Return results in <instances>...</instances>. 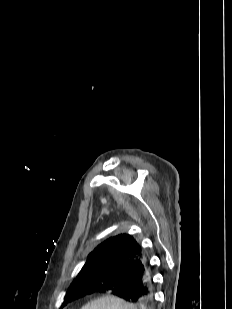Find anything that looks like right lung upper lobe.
<instances>
[{
    "label": "right lung upper lobe",
    "instance_id": "obj_1",
    "mask_svg": "<svg viewBox=\"0 0 232 309\" xmlns=\"http://www.w3.org/2000/svg\"><path fill=\"white\" fill-rule=\"evenodd\" d=\"M144 260L142 248L129 234H119L102 242L89 255L77 277L96 271L117 273L120 265Z\"/></svg>",
    "mask_w": 232,
    "mask_h": 309
}]
</instances>
